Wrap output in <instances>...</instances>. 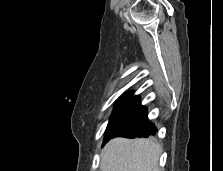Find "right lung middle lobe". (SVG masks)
I'll return each mask as SVG.
<instances>
[{
    "label": "right lung middle lobe",
    "instance_id": "obj_1",
    "mask_svg": "<svg viewBox=\"0 0 223 171\" xmlns=\"http://www.w3.org/2000/svg\"><path fill=\"white\" fill-rule=\"evenodd\" d=\"M137 99L134 98H122L116 102L114 112L108 123L107 130L120 118L122 117L134 104Z\"/></svg>",
    "mask_w": 223,
    "mask_h": 171
}]
</instances>
